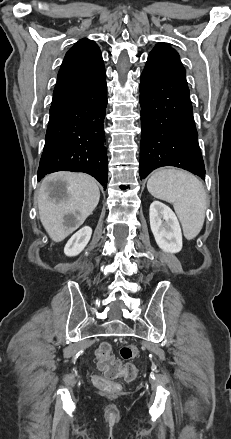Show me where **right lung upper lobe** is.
<instances>
[{
  "label": "right lung upper lobe",
  "instance_id": "cb5924a9",
  "mask_svg": "<svg viewBox=\"0 0 231 439\" xmlns=\"http://www.w3.org/2000/svg\"><path fill=\"white\" fill-rule=\"evenodd\" d=\"M104 73L99 47L92 40H79L65 55L58 72L53 100L82 88Z\"/></svg>",
  "mask_w": 231,
  "mask_h": 439
}]
</instances>
